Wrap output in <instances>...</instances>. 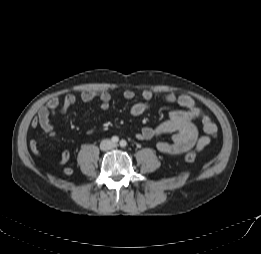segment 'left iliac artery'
<instances>
[{"instance_id":"obj_1","label":"left iliac artery","mask_w":261,"mask_h":254,"mask_svg":"<svg viewBox=\"0 0 261 254\" xmlns=\"http://www.w3.org/2000/svg\"><path fill=\"white\" fill-rule=\"evenodd\" d=\"M127 145V142L125 140L120 141V146L125 147Z\"/></svg>"}]
</instances>
